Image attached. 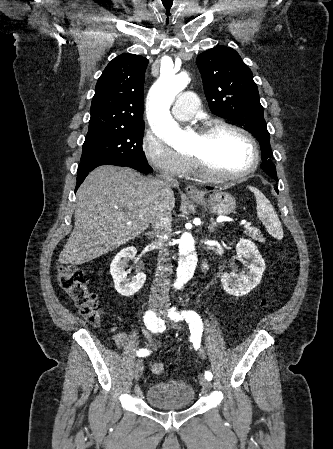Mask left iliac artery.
I'll return each instance as SVG.
<instances>
[{
	"label": "left iliac artery",
	"mask_w": 333,
	"mask_h": 449,
	"mask_svg": "<svg viewBox=\"0 0 333 449\" xmlns=\"http://www.w3.org/2000/svg\"><path fill=\"white\" fill-rule=\"evenodd\" d=\"M169 317L175 321L185 320L191 332L190 340L196 350L200 348L201 337L203 332V323L201 317L194 311H182L181 313L176 311V308H172L169 311ZM205 378L211 381L213 375L210 371H205Z\"/></svg>",
	"instance_id": "obj_1"
}]
</instances>
